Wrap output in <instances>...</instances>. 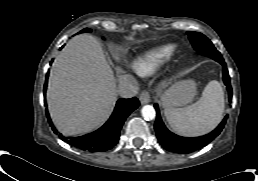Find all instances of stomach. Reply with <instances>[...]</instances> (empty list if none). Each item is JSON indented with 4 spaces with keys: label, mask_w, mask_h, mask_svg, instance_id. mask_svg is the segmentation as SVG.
Listing matches in <instances>:
<instances>
[{
    "label": "stomach",
    "mask_w": 258,
    "mask_h": 181,
    "mask_svg": "<svg viewBox=\"0 0 258 181\" xmlns=\"http://www.w3.org/2000/svg\"><path fill=\"white\" fill-rule=\"evenodd\" d=\"M196 92L197 84L193 80H183L162 92L160 101L164 108L182 107L193 101Z\"/></svg>",
    "instance_id": "obj_1"
}]
</instances>
